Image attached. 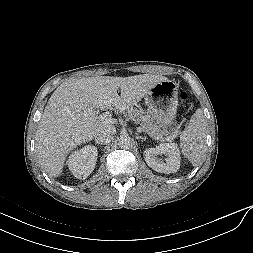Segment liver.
I'll return each instance as SVG.
<instances>
[{
    "label": "liver",
    "mask_w": 253,
    "mask_h": 253,
    "mask_svg": "<svg viewBox=\"0 0 253 253\" xmlns=\"http://www.w3.org/2000/svg\"><path fill=\"white\" fill-rule=\"evenodd\" d=\"M163 80L167 77L143 74L124 78H76L63 82L51 95L36 131L41 167L50 177L61 175L70 151L91 141L101 127L115 123L114 120H100L96 108L115 107L117 111L125 112Z\"/></svg>",
    "instance_id": "liver-1"
}]
</instances>
